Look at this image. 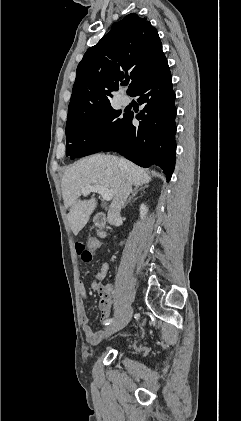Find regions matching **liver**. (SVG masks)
<instances>
[{"label": "liver", "mask_w": 241, "mask_h": 421, "mask_svg": "<svg viewBox=\"0 0 241 421\" xmlns=\"http://www.w3.org/2000/svg\"><path fill=\"white\" fill-rule=\"evenodd\" d=\"M124 176L135 186L151 180L150 175L134 163L113 155L94 154L71 165L62 178L65 208H70L68 221L74 235L86 225L97 206L95 197L80 200L81 191L90 185H101L113 192L115 198Z\"/></svg>", "instance_id": "obj_1"}]
</instances>
